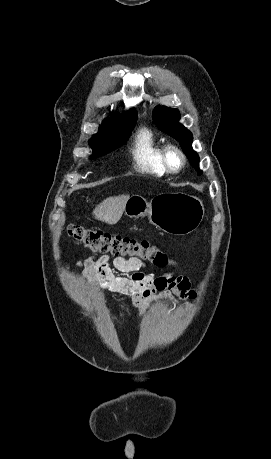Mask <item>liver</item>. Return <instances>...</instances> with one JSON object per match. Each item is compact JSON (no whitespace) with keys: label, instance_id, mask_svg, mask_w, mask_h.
Returning <instances> with one entry per match:
<instances>
[{"label":"liver","instance_id":"obj_1","mask_svg":"<svg viewBox=\"0 0 271 459\" xmlns=\"http://www.w3.org/2000/svg\"><path fill=\"white\" fill-rule=\"evenodd\" d=\"M129 196H116V198H106L102 204L95 208L93 214L96 220L106 222V224H117L125 210Z\"/></svg>","mask_w":271,"mask_h":459}]
</instances>
